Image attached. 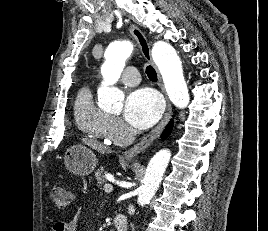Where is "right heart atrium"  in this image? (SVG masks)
<instances>
[{"instance_id":"obj_1","label":"right heart atrium","mask_w":268,"mask_h":231,"mask_svg":"<svg viewBox=\"0 0 268 231\" xmlns=\"http://www.w3.org/2000/svg\"><path fill=\"white\" fill-rule=\"evenodd\" d=\"M127 130L124 122L118 117L111 118V124L109 128V140L116 142Z\"/></svg>"}]
</instances>
